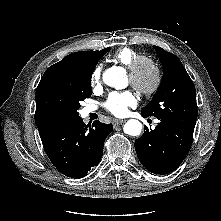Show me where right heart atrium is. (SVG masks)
<instances>
[{
  "label": "right heart atrium",
  "mask_w": 221,
  "mask_h": 221,
  "mask_svg": "<svg viewBox=\"0 0 221 221\" xmlns=\"http://www.w3.org/2000/svg\"><path fill=\"white\" fill-rule=\"evenodd\" d=\"M90 82L92 87H98L101 82V67L96 66L95 69L93 70L90 78Z\"/></svg>",
  "instance_id": "obj_1"
}]
</instances>
